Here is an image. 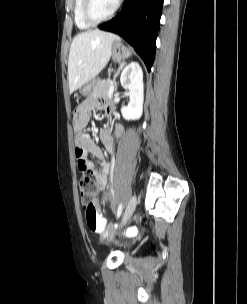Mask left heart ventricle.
I'll use <instances>...</instances> for the list:
<instances>
[{"label":"left heart ventricle","instance_id":"1","mask_svg":"<svg viewBox=\"0 0 247 304\" xmlns=\"http://www.w3.org/2000/svg\"><path fill=\"white\" fill-rule=\"evenodd\" d=\"M118 0H93L92 15L95 18H103L109 15L115 8Z\"/></svg>","mask_w":247,"mask_h":304}]
</instances>
